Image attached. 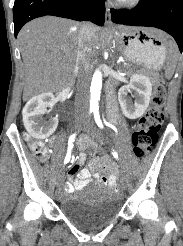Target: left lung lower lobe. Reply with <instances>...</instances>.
Wrapping results in <instances>:
<instances>
[{"instance_id":"1","label":"left lung lower lobe","mask_w":183,"mask_h":246,"mask_svg":"<svg viewBox=\"0 0 183 246\" xmlns=\"http://www.w3.org/2000/svg\"><path fill=\"white\" fill-rule=\"evenodd\" d=\"M117 24L155 27L169 33L183 50V0H140L131 10H111Z\"/></svg>"}]
</instances>
